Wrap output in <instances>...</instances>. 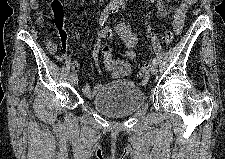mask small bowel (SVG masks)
Instances as JSON below:
<instances>
[{
  "label": "small bowel",
  "instance_id": "c3829d8e",
  "mask_svg": "<svg viewBox=\"0 0 225 159\" xmlns=\"http://www.w3.org/2000/svg\"><path fill=\"white\" fill-rule=\"evenodd\" d=\"M191 3L192 2L190 0H183L173 11V27L176 33H179L181 31L186 12L188 8L190 7ZM30 6L32 10L36 12L38 25L42 27L44 25V15L39 10L40 8L39 0H31ZM158 11L160 14L166 15L170 12V8L168 7V4L166 2L159 1ZM57 27L59 30V38H60L61 47L64 51H66L68 47L67 32L65 28L63 27V25L57 24ZM116 33L122 42L124 57H126L129 60L135 59L136 57L135 47L138 42L136 35L131 31L129 26L125 24L118 25L116 27ZM113 38H114V33L109 27H104L99 30L97 34V41L93 49V59L98 64L100 59V53L102 51L104 55V59H105V68L113 79H122V78L129 77L132 74V66L129 61L115 59L112 57V55H110L109 57H106L104 54L103 49L108 46L103 44V40L113 39ZM45 45L47 50L52 55H56L59 59H61V56L57 55L58 46L56 43H54L50 39H46ZM71 67L76 72L81 69L80 64L74 60L71 62ZM99 88H100V85H96L94 88H91L90 86H84L82 90L86 97L91 98L99 90Z\"/></svg>",
  "mask_w": 225,
  "mask_h": 159
}]
</instances>
